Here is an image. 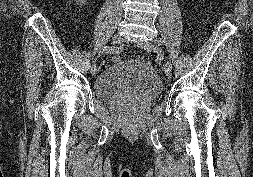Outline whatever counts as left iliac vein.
I'll list each match as a JSON object with an SVG mask.
<instances>
[{"label":"left iliac vein","mask_w":253,"mask_h":177,"mask_svg":"<svg viewBox=\"0 0 253 177\" xmlns=\"http://www.w3.org/2000/svg\"><path fill=\"white\" fill-rule=\"evenodd\" d=\"M138 47H140L141 49L147 51V52H156L157 48L155 46V44H153L150 41H143L138 43ZM164 70V74L167 78H171L172 76V65L171 66H166L164 65L163 67Z\"/></svg>","instance_id":"left-iliac-vein-1"}]
</instances>
